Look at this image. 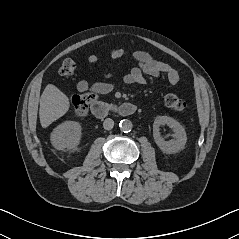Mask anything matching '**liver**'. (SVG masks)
<instances>
[{"label": "liver", "mask_w": 239, "mask_h": 239, "mask_svg": "<svg viewBox=\"0 0 239 239\" xmlns=\"http://www.w3.org/2000/svg\"><path fill=\"white\" fill-rule=\"evenodd\" d=\"M68 97L55 85L48 84L40 98L39 118L43 128L62 117L69 110Z\"/></svg>", "instance_id": "1"}]
</instances>
